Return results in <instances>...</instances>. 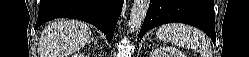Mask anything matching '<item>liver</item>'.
Listing matches in <instances>:
<instances>
[{
    "instance_id": "1",
    "label": "liver",
    "mask_w": 249,
    "mask_h": 57,
    "mask_svg": "<svg viewBox=\"0 0 249 57\" xmlns=\"http://www.w3.org/2000/svg\"><path fill=\"white\" fill-rule=\"evenodd\" d=\"M91 40L89 25L77 20L52 22L39 39V57H67Z\"/></svg>"
}]
</instances>
